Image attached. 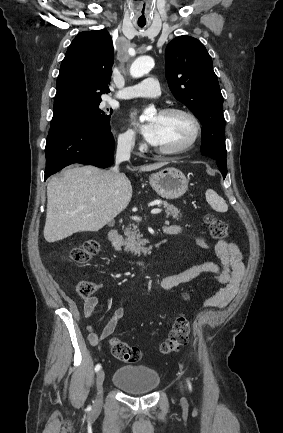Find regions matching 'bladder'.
Returning <instances> with one entry per match:
<instances>
[{"instance_id":"bladder-1","label":"bladder","mask_w":283,"mask_h":433,"mask_svg":"<svg viewBox=\"0 0 283 433\" xmlns=\"http://www.w3.org/2000/svg\"><path fill=\"white\" fill-rule=\"evenodd\" d=\"M113 383L130 393H149L159 385V373L147 366L119 367Z\"/></svg>"}]
</instances>
